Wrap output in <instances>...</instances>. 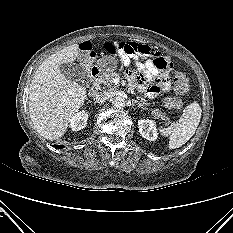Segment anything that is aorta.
Returning a JSON list of instances; mask_svg holds the SVG:
<instances>
[{
  "label": "aorta",
  "instance_id": "1",
  "mask_svg": "<svg viewBox=\"0 0 233 233\" xmlns=\"http://www.w3.org/2000/svg\"><path fill=\"white\" fill-rule=\"evenodd\" d=\"M112 104H113V106L115 108L122 109V108L125 107L126 101H125L124 97H122V96H116V97L113 98Z\"/></svg>",
  "mask_w": 233,
  "mask_h": 233
}]
</instances>
